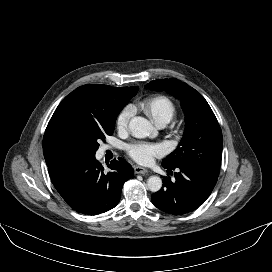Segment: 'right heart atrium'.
I'll return each mask as SVG.
<instances>
[{"label":"right heart atrium","mask_w":272,"mask_h":272,"mask_svg":"<svg viewBox=\"0 0 272 272\" xmlns=\"http://www.w3.org/2000/svg\"><path fill=\"white\" fill-rule=\"evenodd\" d=\"M131 115H132V110L128 107L123 109L118 114L116 119V127L118 130L123 131L127 128Z\"/></svg>","instance_id":"right-heart-atrium-1"}]
</instances>
